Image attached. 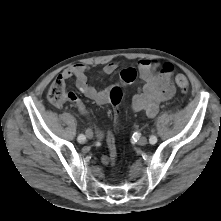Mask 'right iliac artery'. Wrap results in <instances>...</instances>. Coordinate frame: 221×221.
I'll use <instances>...</instances> for the list:
<instances>
[{
  "label": "right iliac artery",
  "instance_id": "1",
  "mask_svg": "<svg viewBox=\"0 0 221 221\" xmlns=\"http://www.w3.org/2000/svg\"><path fill=\"white\" fill-rule=\"evenodd\" d=\"M85 139H86V137L83 134L78 136V142H80V143L85 142Z\"/></svg>",
  "mask_w": 221,
  "mask_h": 221
}]
</instances>
